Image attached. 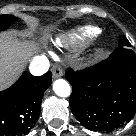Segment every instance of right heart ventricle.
<instances>
[{
	"label": "right heart ventricle",
	"instance_id": "e07e8e85",
	"mask_svg": "<svg viewBox=\"0 0 136 136\" xmlns=\"http://www.w3.org/2000/svg\"><path fill=\"white\" fill-rule=\"evenodd\" d=\"M98 32L99 31L96 28H92V27L78 28L70 32L65 37V40L58 39L56 41V45L65 46L68 43L73 45H81L94 38L98 34Z\"/></svg>",
	"mask_w": 136,
	"mask_h": 136
}]
</instances>
